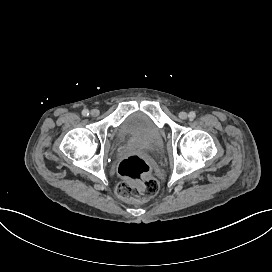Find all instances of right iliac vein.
<instances>
[{"instance_id": "63e3f726", "label": "right iliac vein", "mask_w": 272, "mask_h": 272, "mask_svg": "<svg viewBox=\"0 0 272 272\" xmlns=\"http://www.w3.org/2000/svg\"><path fill=\"white\" fill-rule=\"evenodd\" d=\"M90 114H91V116L96 117V116L99 115V110L98 109H93V110H91Z\"/></svg>"}]
</instances>
